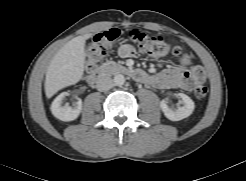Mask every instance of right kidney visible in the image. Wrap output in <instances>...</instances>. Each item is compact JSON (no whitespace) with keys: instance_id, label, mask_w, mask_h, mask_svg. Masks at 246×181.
Here are the masks:
<instances>
[{"instance_id":"right-kidney-1","label":"right kidney","mask_w":246,"mask_h":181,"mask_svg":"<svg viewBox=\"0 0 246 181\" xmlns=\"http://www.w3.org/2000/svg\"><path fill=\"white\" fill-rule=\"evenodd\" d=\"M66 96V93H61L57 96L51 105V112L52 114L61 121H73L75 120L82 110V101L78 99L73 106L65 105L62 106V100Z\"/></svg>"}]
</instances>
